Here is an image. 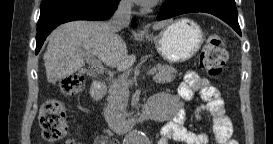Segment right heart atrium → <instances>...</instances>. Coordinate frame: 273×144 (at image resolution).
<instances>
[{"label":"right heart atrium","instance_id":"right-heart-atrium-1","mask_svg":"<svg viewBox=\"0 0 273 144\" xmlns=\"http://www.w3.org/2000/svg\"><path fill=\"white\" fill-rule=\"evenodd\" d=\"M128 1H121V5H123V6H126V5H128Z\"/></svg>","mask_w":273,"mask_h":144}]
</instances>
